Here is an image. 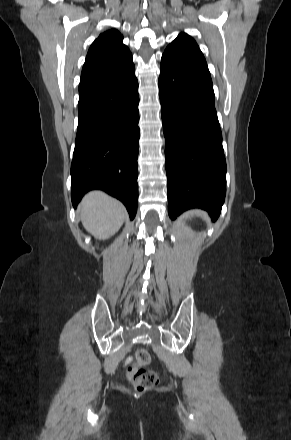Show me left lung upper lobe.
I'll list each match as a JSON object with an SVG mask.
<instances>
[{"mask_svg":"<svg viewBox=\"0 0 291 440\" xmlns=\"http://www.w3.org/2000/svg\"><path fill=\"white\" fill-rule=\"evenodd\" d=\"M164 55L184 61H192L207 65L206 60L194 39L185 33H180L178 37L168 45Z\"/></svg>","mask_w":291,"mask_h":440,"instance_id":"left-lung-upper-lobe-1","label":"left lung upper lobe"}]
</instances>
